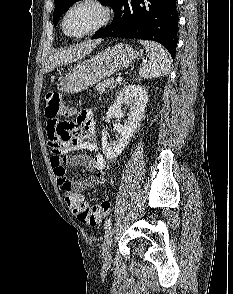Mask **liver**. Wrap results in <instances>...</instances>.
Returning a JSON list of instances; mask_svg holds the SVG:
<instances>
[{"mask_svg": "<svg viewBox=\"0 0 233 294\" xmlns=\"http://www.w3.org/2000/svg\"><path fill=\"white\" fill-rule=\"evenodd\" d=\"M98 43L99 41H95L93 43H82L52 55L46 62L43 72L47 73L57 66L75 62L85 57L97 46Z\"/></svg>", "mask_w": 233, "mask_h": 294, "instance_id": "1", "label": "liver"}]
</instances>
